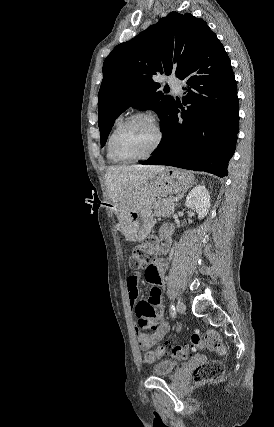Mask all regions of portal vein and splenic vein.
<instances>
[{
    "label": "portal vein and splenic vein",
    "mask_w": 274,
    "mask_h": 427,
    "mask_svg": "<svg viewBox=\"0 0 274 427\" xmlns=\"http://www.w3.org/2000/svg\"><path fill=\"white\" fill-rule=\"evenodd\" d=\"M173 202H177V198H174Z\"/></svg>",
    "instance_id": "obj_1"
}]
</instances>
